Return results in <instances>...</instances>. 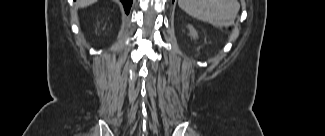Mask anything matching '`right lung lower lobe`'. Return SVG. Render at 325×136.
<instances>
[{"label":"right lung lower lobe","instance_id":"obj_1","mask_svg":"<svg viewBox=\"0 0 325 136\" xmlns=\"http://www.w3.org/2000/svg\"><path fill=\"white\" fill-rule=\"evenodd\" d=\"M123 3L125 12L128 14L132 5V0H120Z\"/></svg>","mask_w":325,"mask_h":136}]
</instances>
